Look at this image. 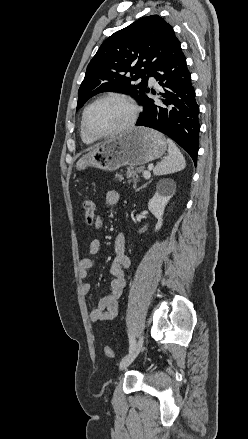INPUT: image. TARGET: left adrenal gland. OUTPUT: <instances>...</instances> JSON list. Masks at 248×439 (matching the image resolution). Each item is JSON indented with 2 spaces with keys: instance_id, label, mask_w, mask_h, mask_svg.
I'll list each match as a JSON object with an SVG mask.
<instances>
[{
  "instance_id": "obj_1",
  "label": "left adrenal gland",
  "mask_w": 248,
  "mask_h": 439,
  "mask_svg": "<svg viewBox=\"0 0 248 439\" xmlns=\"http://www.w3.org/2000/svg\"><path fill=\"white\" fill-rule=\"evenodd\" d=\"M151 181H149L148 183H150ZM148 183H146L143 187H145ZM143 187H141V188H143ZM141 188H139L138 190H140Z\"/></svg>"
}]
</instances>
